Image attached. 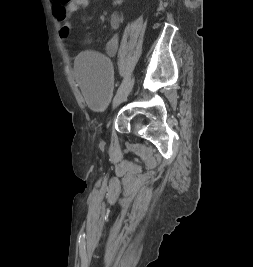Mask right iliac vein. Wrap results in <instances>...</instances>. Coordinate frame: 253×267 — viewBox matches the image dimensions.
<instances>
[{"instance_id":"63e3f726","label":"right iliac vein","mask_w":253,"mask_h":267,"mask_svg":"<svg viewBox=\"0 0 253 267\" xmlns=\"http://www.w3.org/2000/svg\"><path fill=\"white\" fill-rule=\"evenodd\" d=\"M133 85V79H130L117 93L113 100V108L121 104L129 95Z\"/></svg>"}]
</instances>
